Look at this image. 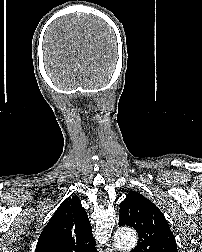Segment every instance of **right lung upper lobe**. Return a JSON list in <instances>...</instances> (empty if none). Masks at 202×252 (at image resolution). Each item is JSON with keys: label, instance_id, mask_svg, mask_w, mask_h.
<instances>
[{"label": "right lung upper lobe", "instance_id": "right-lung-upper-lobe-1", "mask_svg": "<svg viewBox=\"0 0 202 252\" xmlns=\"http://www.w3.org/2000/svg\"><path fill=\"white\" fill-rule=\"evenodd\" d=\"M85 209L77 196L66 198L38 239L35 252H97Z\"/></svg>", "mask_w": 202, "mask_h": 252}]
</instances>
